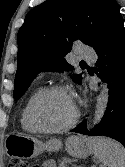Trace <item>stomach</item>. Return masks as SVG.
I'll use <instances>...</instances> for the list:
<instances>
[{
    "instance_id": "1",
    "label": "stomach",
    "mask_w": 125,
    "mask_h": 167,
    "mask_svg": "<svg viewBox=\"0 0 125 167\" xmlns=\"http://www.w3.org/2000/svg\"><path fill=\"white\" fill-rule=\"evenodd\" d=\"M68 154L74 157H87L93 152L90 140L82 136H71L65 142ZM62 147L60 140L51 139L46 143L22 133L11 134L7 138L5 152L8 156L30 159L45 150L58 151Z\"/></svg>"
}]
</instances>
